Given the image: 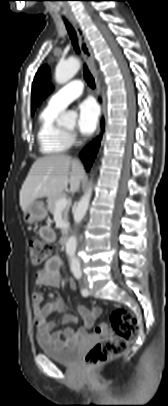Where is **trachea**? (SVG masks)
<instances>
[{"mask_svg":"<svg viewBox=\"0 0 168 406\" xmlns=\"http://www.w3.org/2000/svg\"><path fill=\"white\" fill-rule=\"evenodd\" d=\"M65 24H66V28L68 30V33L70 35V38L72 40V44L74 46V49L77 53H79V47H78V43H77V37H76V33L75 30L73 29V27L71 26V24L65 20ZM84 78L87 82V84L89 85V87H91L92 89L95 88V81L94 78L92 77V75L90 74L87 66L84 64Z\"/></svg>","mask_w":168,"mask_h":406,"instance_id":"3493384b","label":"trachea"}]
</instances>
